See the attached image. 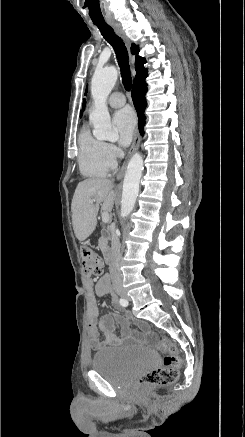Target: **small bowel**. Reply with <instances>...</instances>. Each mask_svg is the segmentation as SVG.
I'll return each instance as SVG.
<instances>
[{
  "label": "small bowel",
  "mask_w": 245,
  "mask_h": 437,
  "mask_svg": "<svg viewBox=\"0 0 245 437\" xmlns=\"http://www.w3.org/2000/svg\"><path fill=\"white\" fill-rule=\"evenodd\" d=\"M95 281L86 279L85 285L87 288H92ZM95 291L99 296L106 295L110 292V281L106 277H102L95 283ZM130 316L128 314H120L118 312H106L100 316L99 310L92 307L89 313V333L91 347L95 351H101L109 347H119L123 345H131L143 341H152V335L143 327V333L134 331L130 328ZM119 325L120 332L118 333L116 325ZM104 335V339H100V335Z\"/></svg>",
  "instance_id": "obj_1"
}]
</instances>
